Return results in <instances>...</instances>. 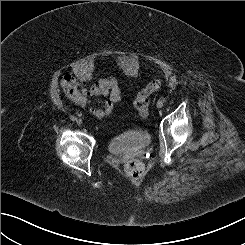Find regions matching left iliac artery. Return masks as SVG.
<instances>
[{
    "instance_id": "left-iliac-artery-1",
    "label": "left iliac artery",
    "mask_w": 245,
    "mask_h": 245,
    "mask_svg": "<svg viewBox=\"0 0 245 245\" xmlns=\"http://www.w3.org/2000/svg\"><path fill=\"white\" fill-rule=\"evenodd\" d=\"M160 102L161 103H165L166 102V99L165 98H161Z\"/></svg>"
}]
</instances>
